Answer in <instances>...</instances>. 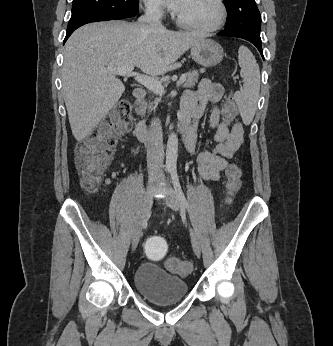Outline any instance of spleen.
Here are the masks:
<instances>
[{
  "label": "spleen",
  "instance_id": "spleen-1",
  "mask_svg": "<svg viewBox=\"0 0 333 346\" xmlns=\"http://www.w3.org/2000/svg\"><path fill=\"white\" fill-rule=\"evenodd\" d=\"M238 62L243 78V89L234 95L242 120L245 124L251 123L254 118L260 92L259 65L252 52L245 46L238 50Z\"/></svg>",
  "mask_w": 333,
  "mask_h": 346
}]
</instances>
